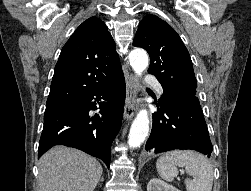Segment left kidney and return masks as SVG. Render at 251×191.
<instances>
[{"mask_svg": "<svg viewBox=\"0 0 251 191\" xmlns=\"http://www.w3.org/2000/svg\"><path fill=\"white\" fill-rule=\"evenodd\" d=\"M147 191H180L174 185H170V183H166L163 179H157V177H153L147 183Z\"/></svg>", "mask_w": 251, "mask_h": 191, "instance_id": "left-kidney-1", "label": "left kidney"}]
</instances>
